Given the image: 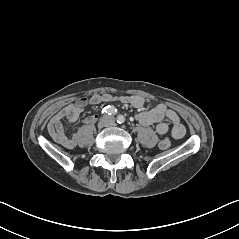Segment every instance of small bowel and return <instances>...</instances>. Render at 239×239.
<instances>
[{
  "instance_id": "obj_1",
  "label": "small bowel",
  "mask_w": 239,
  "mask_h": 239,
  "mask_svg": "<svg viewBox=\"0 0 239 239\" xmlns=\"http://www.w3.org/2000/svg\"><path fill=\"white\" fill-rule=\"evenodd\" d=\"M112 102H120L129 104L135 108H141L145 105L146 100L138 95L118 96L109 93L95 94L86 99L84 104L78 102L72 103L60 110L48 124L49 135L60 145L69 149L74 148L76 146V136L75 134L71 137L67 136L63 126V120H67L69 123L75 122L83 111L85 104L95 105ZM136 119L143 126L156 124V131L160 135L170 132L174 138L180 139L186 133V129L181 123L177 113L163 103L156 104L151 110L139 112L136 115ZM164 120H166V122H164ZM92 121V118H87L85 120L86 123Z\"/></svg>"
}]
</instances>
